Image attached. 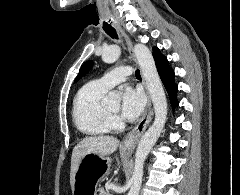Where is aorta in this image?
I'll return each mask as SVG.
<instances>
[{
  "instance_id": "1",
  "label": "aorta",
  "mask_w": 240,
  "mask_h": 195,
  "mask_svg": "<svg viewBox=\"0 0 240 195\" xmlns=\"http://www.w3.org/2000/svg\"><path fill=\"white\" fill-rule=\"evenodd\" d=\"M133 52L141 68L142 76L145 78L150 98L153 101L155 119L154 123H152L149 129L142 135L137 145L134 169L130 179L131 187L127 195H139L146 155H148L159 135H161V131L167 119V99L149 48L144 46V44H136L133 48ZM120 54L121 50L119 46H109V48L103 50L102 60L106 62V64H113V62L118 60ZM108 96L109 98H114L113 92H110Z\"/></svg>"
}]
</instances>
